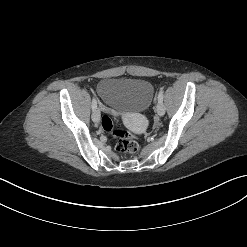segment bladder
<instances>
[{
    "mask_svg": "<svg viewBox=\"0 0 247 247\" xmlns=\"http://www.w3.org/2000/svg\"><path fill=\"white\" fill-rule=\"evenodd\" d=\"M97 94L117 113H136L150 105L153 86L140 79L104 78L97 85Z\"/></svg>",
    "mask_w": 247,
    "mask_h": 247,
    "instance_id": "obj_1",
    "label": "bladder"
}]
</instances>
